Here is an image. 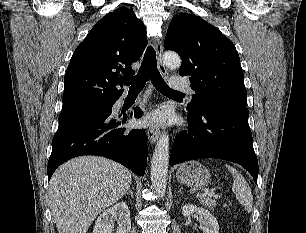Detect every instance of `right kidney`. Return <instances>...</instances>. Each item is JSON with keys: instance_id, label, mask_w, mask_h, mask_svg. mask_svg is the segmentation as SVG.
Wrapping results in <instances>:
<instances>
[{"instance_id": "ca27d5eb", "label": "right kidney", "mask_w": 306, "mask_h": 233, "mask_svg": "<svg viewBox=\"0 0 306 233\" xmlns=\"http://www.w3.org/2000/svg\"><path fill=\"white\" fill-rule=\"evenodd\" d=\"M118 219L116 233H129L131 229L130 211L125 202H119L108 208L95 222L93 233H112L114 222Z\"/></svg>"}]
</instances>
